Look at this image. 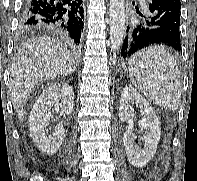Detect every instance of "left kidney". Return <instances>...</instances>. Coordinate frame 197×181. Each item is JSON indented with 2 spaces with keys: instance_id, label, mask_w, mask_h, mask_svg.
<instances>
[{
  "instance_id": "left-kidney-1",
  "label": "left kidney",
  "mask_w": 197,
  "mask_h": 181,
  "mask_svg": "<svg viewBox=\"0 0 197 181\" xmlns=\"http://www.w3.org/2000/svg\"><path fill=\"white\" fill-rule=\"evenodd\" d=\"M132 102H135L140 108V113L143 116V119L139 121V125L145 129V135L142 137V148H139L134 142V111L130 109V103ZM119 118L121 121L128 123L123 135L128 161L135 167L146 166L157 150L161 135L160 122L149 102L131 85L126 86L121 94Z\"/></svg>"
}]
</instances>
